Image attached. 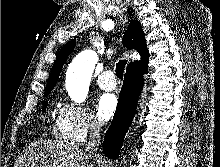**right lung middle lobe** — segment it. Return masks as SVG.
<instances>
[{"label": "right lung middle lobe", "instance_id": "obj_1", "mask_svg": "<svg viewBox=\"0 0 220 167\" xmlns=\"http://www.w3.org/2000/svg\"><path fill=\"white\" fill-rule=\"evenodd\" d=\"M46 106H47V102H46V103H44V105H43V108H42V111H43V112L45 111Z\"/></svg>", "mask_w": 220, "mask_h": 167}]
</instances>
